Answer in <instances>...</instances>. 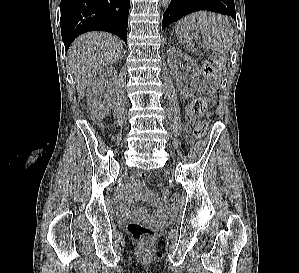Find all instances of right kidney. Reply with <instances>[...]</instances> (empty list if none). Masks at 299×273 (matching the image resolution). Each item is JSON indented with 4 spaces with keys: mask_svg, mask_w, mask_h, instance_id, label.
Segmentation results:
<instances>
[{
    "mask_svg": "<svg viewBox=\"0 0 299 273\" xmlns=\"http://www.w3.org/2000/svg\"><path fill=\"white\" fill-rule=\"evenodd\" d=\"M116 76L115 68L106 67L94 73L88 81L87 103L96 118L102 119L109 113L115 87L114 83L108 84L106 78L114 79Z\"/></svg>",
    "mask_w": 299,
    "mask_h": 273,
    "instance_id": "1",
    "label": "right kidney"
}]
</instances>
